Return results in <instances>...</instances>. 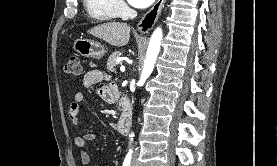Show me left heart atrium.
<instances>
[{
  "label": "left heart atrium",
  "mask_w": 277,
  "mask_h": 166,
  "mask_svg": "<svg viewBox=\"0 0 277 166\" xmlns=\"http://www.w3.org/2000/svg\"><path fill=\"white\" fill-rule=\"evenodd\" d=\"M155 0H128V2L136 8H146L150 6Z\"/></svg>",
  "instance_id": "left-heart-atrium-1"
}]
</instances>
